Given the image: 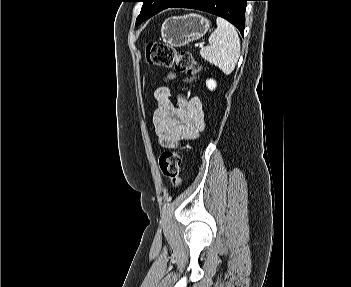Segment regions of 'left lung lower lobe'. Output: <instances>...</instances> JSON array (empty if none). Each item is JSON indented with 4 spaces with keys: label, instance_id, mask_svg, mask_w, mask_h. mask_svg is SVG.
I'll return each instance as SVG.
<instances>
[{
    "label": "left lung lower lobe",
    "instance_id": "0a47b994",
    "mask_svg": "<svg viewBox=\"0 0 351 287\" xmlns=\"http://www.w3.org/2000/svg\"><path fill=\"white\" fill-rule=\"evenodd\" d=\"M247 1L249 0H177L168 8H190L220 16L236 26L243 35Z\"/></svg>",
    "mask_w": 351,
    "mask_h": 287
}]
</instances>
